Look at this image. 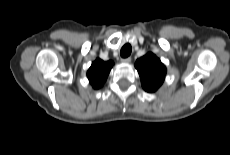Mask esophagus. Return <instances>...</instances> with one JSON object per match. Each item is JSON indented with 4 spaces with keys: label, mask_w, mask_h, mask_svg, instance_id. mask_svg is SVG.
I'll use <instances>...</instances> for the list:
<instances>
[{
    "label": "esophagus",
    "mask_w": 230,
    "mask_h": 155,
    "mask_svg": "<svg viewBox=\"0 0 230 155\" xmlns=\"http://www.w3.org/2000/svg\"><path fill=\"white\" fill-rule=\"evenodd\" d=\"M130 61H131L130 57L121 59V62H123V63H129Z\"/></svg>",
    "instance_id": "obj_1"
}]
</instances>
